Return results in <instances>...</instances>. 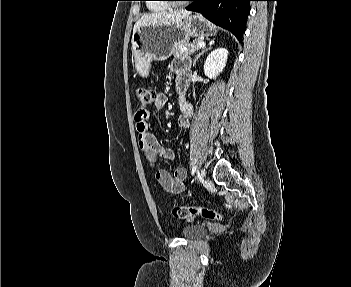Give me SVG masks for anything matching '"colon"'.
Here are the masks:
<instances>
[{"label": "colon", "instance_id": "colon-1", "mask_svg": "<svg viewBox=\"0 0 351 287\" xmlns=\"http://www.w3.org/2000/svg\"><path fill=\"white\" fill-rule=\"evenodd\" d=\"M135 96L140 109L148 108L155 99V92L150 88L139 87L136 89ZM175 218L184 220H193L196 217H202L207 220H221L223 214L219 211L198 206H175L172 210Z\"/></svg>", "mask_w": 351, "mask_h": 287}]
</instances>
